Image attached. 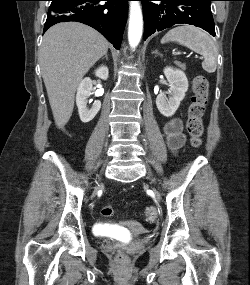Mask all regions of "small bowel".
Listing matches in <instances>:
<instances>
[{
	"instance_id": "small-bowel-1",
	"label": "small bowel",
	"mask_w": 250,
	"mask_h": 285,
	"mask_svg": "<svg viewBox=\"0 0 250 285\" xmlns=\"http://www.w3.org/2000/svg\"><path fill=\"white\" fill-rule=\"evenodd\" d=\"M182 129V121L176 117L170 119L164 126L167 144L174 152L178 151L184 145L185 136Z\"/></svg>"
}]
</instances>
